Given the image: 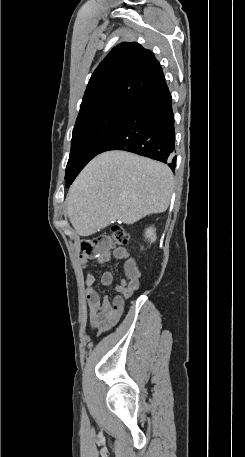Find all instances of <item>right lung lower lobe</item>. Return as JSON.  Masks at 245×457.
<instances>
[{
	"instance_id": "98d812e1",
	"label": "right lung lower lobe",
	"mask_w": 245,
	"mask_h": 457,
	"mask_svg": "<svg viewBox=\"0 0 245 457\" xmlns=\"http://www.w3.org/2000/svg\"><path fill=\"white\" fill-rule=\"evenodd\" d=\"M109 150L133 152L175 169L174 114L166 83L145 93L129 108L99 153Z\"/></svg>"
}]
</instances>
